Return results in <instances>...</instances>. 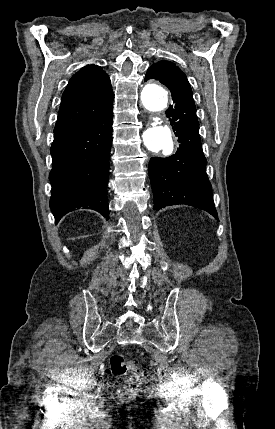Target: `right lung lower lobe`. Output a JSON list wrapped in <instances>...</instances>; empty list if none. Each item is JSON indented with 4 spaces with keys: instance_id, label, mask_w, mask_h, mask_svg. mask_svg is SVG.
I'll return each mask as SVG.
<instances>
[{
    "instance_id": "98d812e1",
    "label": "right lung lower lobe",
    "mask_w": 275,
    "mask_h": 429,
    "mask_svg": "<svg viewBox=\"0 0 275 429\" xmlns=\"http://www.w3.org/2000/svg\"><path fill=\"white\" fill-rule=\"evenodd\" d=\"M113 112L105 118L54 132L50 153V208L56 223L67 211L84 207L108 218L107 183Z\"/></svg>"
}]
</instances>
